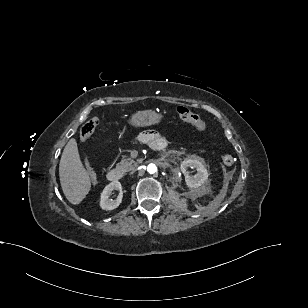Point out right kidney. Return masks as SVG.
Segmentation results:
<instances>
[{
    "instance_id": "obj_1",
    "label": "right kidney",
    "mask_w": 308,
    "mask_h": 308,
    "mask_svg": "<svg viewBox=\"0 0 308 308\" xmlns=\"http://www.w3.org/2000/svg\"><path fill=\"white\" fill-rule=\"evenodd\" d=\"M113 190L120 191L118 197L115 200L109 199V196ZM122 194V186L119 181H113L109 183L101 192L100 207L103 210H113L117 208L122 202Z\"/></svg>"
}]
</instances>
